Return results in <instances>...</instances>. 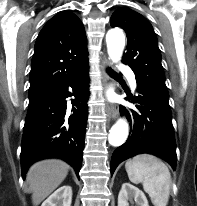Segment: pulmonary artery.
Here are the masks:
<instances>
[{
	"label": "pulmonary artery",
	"mask_w": 197,
	"mask_h": 206,
	"mask_svg": "<svg viewBox=\"0 0 197 206\" xmlns=\"http://www.w3.org/2000/svg\"><path fill=\"white\" fill-rule=\"evenodd\" d=\"M121 69L128 74L131 86L133 88H136V80H135L134 73L131 70L125 69V67L123 66L121 67Z\"/></svg>",
	"instance_id": "obj_1"
}]
</instances>
